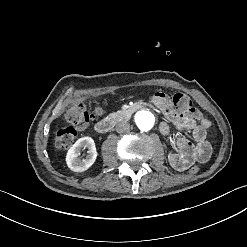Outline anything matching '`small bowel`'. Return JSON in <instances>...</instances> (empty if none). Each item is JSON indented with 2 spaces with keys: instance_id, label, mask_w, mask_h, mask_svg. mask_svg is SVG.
Returning <instances> with one entry per match:
<instances>
[{
  "instance_id": "1",
  "label": "small bowel",
  "mask_w": 247,
  "mask_h": 247,
  "mask_svg": "<svg viewBox=\"0 0 247 247\" xmlns=\"http://www.w3.org/2000/svg\"><path fill=\"white\" fill-rule=\"evenodd\" d=\"M151 101L169 120L160 124V131L163 135L171 137L172 126L178 130L191 132L193 143L186 138L174 140L177 150L168 152L169 164L178 171H184L193 162H206L211 154V146L206 141V133L210 127V121L204 118L202 113L195 108L187 110L175 108L170 99L163 93L154 94ZM187 148H191L190 153L185 152Z\"/></svg>"
}]
</instances>
